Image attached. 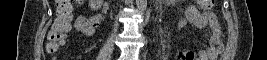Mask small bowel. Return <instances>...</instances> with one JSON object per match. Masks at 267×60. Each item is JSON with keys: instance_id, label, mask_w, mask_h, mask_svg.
<instances>
[{"instance_id": "c3829d8e", "label": "small bowel", "mask_w": 267, "mask_h": 60, "mask_svg": "<svg viewBox=\"0 0 267 60\" xmlns=\"http://www.w3.org/2000/svg\"><path fill=\"white\" fill-rule=\"evenodd\" d=\"M103 16L96 14L91 17L80 16L77 19L76 27L86 36H92L96 27L102 22ZM187 23L197 27H209V46L197 52H183L177 54V59L181 60H215L222 52L224 32L215 14L211 11H200L195 6L189 5L184 16L177 23V29L183 28ZM88 25L89 27H86Z\"/></svg>"}]
</instances>
